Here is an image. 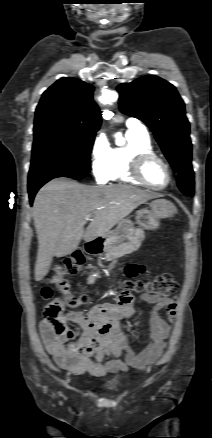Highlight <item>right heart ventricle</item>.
<instances>
[{"label": "right heart ventricle", "mask_w": 212, "mask_h": 438, "mask_svg": "<svg viewBox=\"0 0 212 438\" xmlns=\"http://www.w3.org/2000/svg\"><path fill=\"white\" fill-rule=\"evenodd\" d=\"M127 143L110 149V167L107 180L141 185L130 174L129 168L134 155L142 152H154L148 133L129 129Z\"/></svg>", "instance_id": "right-heart-ventricle-1"}]
</instances>
